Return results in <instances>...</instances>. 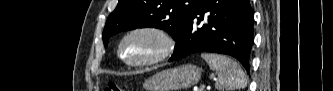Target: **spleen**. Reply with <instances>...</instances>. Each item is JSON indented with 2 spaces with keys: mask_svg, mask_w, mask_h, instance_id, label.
<instances>
[{
  "mask_svg": "<svg viewBox=\"0 0 333 91\" xmlns=\"http://www.w3.org/2000/svg\"><path fill=\"white\" fill-rule=\"evenodd\" d=\"M201 57L207 62L210 69L217 73L215 87L218 91H235L246 87L245 73L236 61L212 53H202Z\"/></svg>",
  "mask_w": 333,
  "mask_h": 91,
  "instance_id": "1",
  "label": "spleen"
}]
</instances>
